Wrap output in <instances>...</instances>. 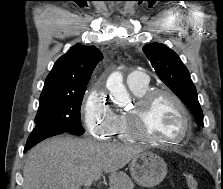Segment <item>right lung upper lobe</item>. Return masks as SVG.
<instances>
[{"label": "right lung upper lobe", "mask_w": 223, "mask_h": 189, "mask_svg": "<svg viewBox=\"0 0 223 189\" xmlns=\"http://www.w3.org/2000/svg\"><path fill=\"white\" fill-rule=\"evenodd\" d=\"M102 59L103 55L96 47L76 44L55 62L41 94L86 88L94 68Z\"/></svg>", "instance_id": "right-lung-upper-lobe-1"}]
</instances>
